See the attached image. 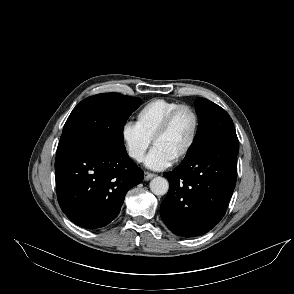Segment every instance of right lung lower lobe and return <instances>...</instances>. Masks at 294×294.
<instances>
[{"mask_svg":"<svg viewBox=\"0 0 294 294\" xmlns=\"http://www.w3.org/2000/svg\"><path fill=\"white\" fill-rule=\"evenodd\" d=\"M143 175L123 144L71 146L56 156L57 199L76 225L104 227L118 216L126 193Z\"/></svg>","mask_w":294,"mask_h":294,"instance_id":"98d812e1","label":"right lung lower lobe"}]
</instances>
